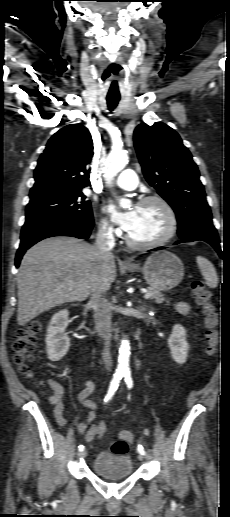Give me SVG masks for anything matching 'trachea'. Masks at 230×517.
Returning <instances> with one entry per match:
<instances>
[{
	"label": "trachea",
	"mask_w": 230,
	"mask_h": 517,
	"mask_svg": "<svg viewBox=\"0 0 230 517\" xmlns=\"http://www.w3.org/2000/svg\"><path fill=\"white\" fill-rule=\"evenodd\" d=\"M106 100H107L108 109L110 111H113L116 108V106L118 105L120 97L114 96V95H107Z\"/></svg>",
	"instance_id": "1"
}]
</instances>
